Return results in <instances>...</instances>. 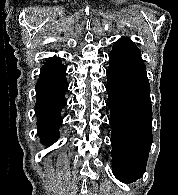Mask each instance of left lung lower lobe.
I'll return each instance as SVG.
<instances>
[{"instance_id":"1","label":"left lung lower lobe","mask_w":178,"mask_h":195,"mask_svg":"<svg viewBox=\"0 0 178 195\" xmlns=\"http://www.w3.org/2000/svg\"><path fill=\"white\" fill-rule=\"evenodd\" d=\"M106 90L113 173L130 183L145 172L152 143L150 85L142 59L111 51Z\"/></svg>"}]
</instances>
